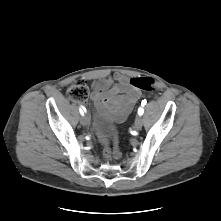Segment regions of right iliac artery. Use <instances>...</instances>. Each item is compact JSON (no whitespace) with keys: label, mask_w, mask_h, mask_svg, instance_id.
<instances>
[{"label":"right iliac artery","mask_w":221,"mask_h":221,"mask_svg":"<svg viewBox=\"0 0 221 221\" xmlns=\"http://www.w3.org/2000/svg\"><path fill=\"white\" fill-rule=\"evenodd\" d=\"M84 112H86V109L84 107H80V113L81 115H84Z\"/></svg>","instance_id":"obj_1"}]
</instances>
